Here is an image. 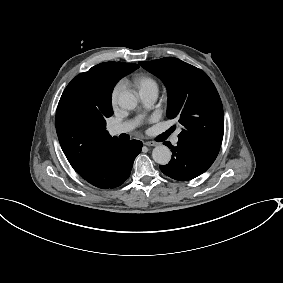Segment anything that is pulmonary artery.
Listing matches in <instances>:
<instances>
[{
    "label": "pulmonary artery",
    "mask_w": 283,
    "mask_h": 283,
    "mask_svg": "<svg viewBox=\"0 0 283 283\" xmlns=\"http://www.w3.org/2000/svg\"><path fill=\"white\" fill-rule=\"evenodd\" d=\"M158 97V89L157 88H148L139 92L140 100L146 105L151 106ZM136 124V121H126L123 123H119L116 125L109 126L107 131L110 136H117L122 133H126L130 131ZM180 131L177 132L178 135Z\"/></svg>",
    "instance_id": "obj_1"
}]
</instances>
